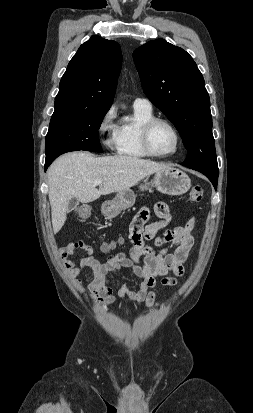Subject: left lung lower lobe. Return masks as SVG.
<instances>
[{
	"label": "left lung lower lobe",
	"instance_id": "left-lung-lower-lobe-1",
	"mask_svg": "<svg viewBox=\"0 0 253 413\" xmlns=\"http://www.w3.org/2000/svg\"><path fill=\"white\" fill-rule=\"evenodd\" d=\"M198 171V170H197ZM203 173L205 176L209 178V180L212 182L215 190L217 189V182H218V173H210V172H205V171H199Z\"/></svg>",
	"mask_w": 253,
	"mask_h": 413
}]
</instances>
